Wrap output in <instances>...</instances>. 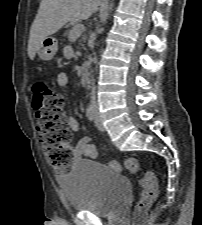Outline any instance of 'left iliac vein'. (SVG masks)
<instances>
[{"instance_id": "1", "label": "left iliac vein", "mask_w": 202, "mask_h": 225, "mask_svg": "<svg viewBox=\"0 0 202 225\" xmlns=\"http://www.w3.org/2000/svg\"><path fill=\"white\" fill-rule=\"evenodd\" d=\"M94 111H95V121H94L95 122V125H96V127L99 130L103 131L104 130V126L102 124V121H101V118H100V115H99V112H98L96 106H94Z\"/></svg>"}]
</instances>
